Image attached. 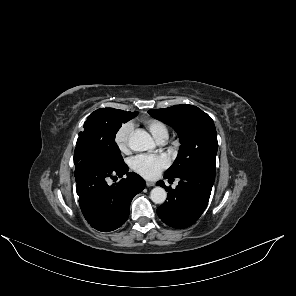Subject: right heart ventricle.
<instances>
[{
    "label": "right heart ventricle",
    "mask_w": 296,
    "mask_h": 296,
    "mask_svg": "<svg viewBox=\"0 0 296 296\" xmlns=\"http://www.w3.org/2000/svg\"><path fill=\"white\" fill-rule=\"evenodd\" d=\"M141 122L156 141L168 137V127L163 121L156 118H144Z\"/></svg>",
    "instance_id": "obj_1"
}]
</instances>
